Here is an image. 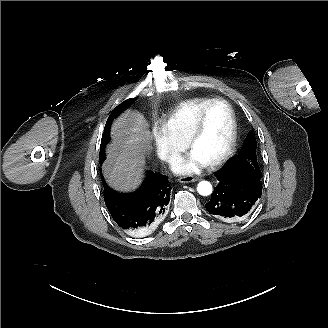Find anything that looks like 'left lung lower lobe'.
Listing matches in <instances>:
<instances>
[{
  "label": "left lung lower lobe",
  "mask_w": 328,
  "mask_h": 328,
  "mask_svg": "<svg viewBox=\"0 0 328 328\" xmlns=\"http://www.w3.org/2000/svg\"><path fill=\"white\" fill-rule=\"evenodd\" d=\"M214 175L219 183L205 204L207 211L223 221L250 213L262 194L261 180L255 172L224 166Z\"/></svg>",
  "instance_id": "obj_1"
}]
</instances>
